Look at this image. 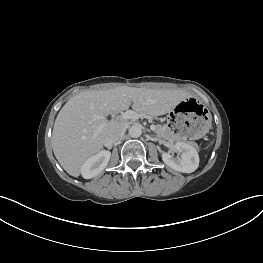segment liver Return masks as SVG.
<instances>
[{"label":"liver","instance_id":"1","mask_svg":"<svg viewBox=\"0 0 263 263\" xmlns=\"http://www.w3.org/2000/svg\"><path fill=\"white\" fill-rule=\"evenodd\" d=\"M189 95L183 90H156L121 86L115 89L84 91L72 97L59 111L52 133L54 155L63 169L78 177L83 163L98 153L108 134L124 128L121 121L94 119L93 114L105 117L129 108L151 116L170 112ZM104 125L95 135L97 127Z\"/></svg>","mask_w":263,"mask_h":263}]
</instances>
